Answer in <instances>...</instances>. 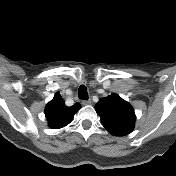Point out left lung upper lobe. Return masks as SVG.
Listing matches in <instances>:
<instances>
[{"mask_svg":"<svg viewBox=\"0 0 176 176\" xmlns=\"http://www.w3.org/2000/svg\"><path fill=\"white\" fill-rule=\"evenodd\" d=\"M95 110L101 118L103 126L114 136H124L133 131L135 113L132 106L119 95L101 98L95 105Z\"/></svg>","mask_w":176,"mask_h":176,"instance_id":"5c2ea615","label":"left lung upper lobe"}]
</instances>
